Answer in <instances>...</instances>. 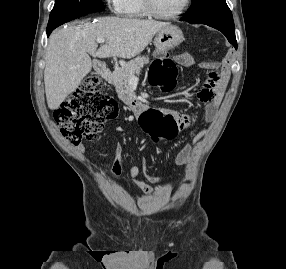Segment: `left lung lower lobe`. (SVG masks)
<instances>
[{"mask_svg":"<svg viewBox=\"0 0 286 269\" xmlns=\"http://www.w3.org/2000/svg\"><path fill=\"white\" fill-rule=\"evenodd\" d=\"M182 21V20H181ZM221 31L228 39V41L237 49V42L235 37V28H230L223 25L206 24Z\"/></svg>","mask_w":286,"mask_h":269,"instance_id":"left-lung-lower-lobe-1","label":"left lung lower lobe"}]
</instances>
